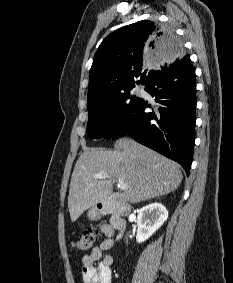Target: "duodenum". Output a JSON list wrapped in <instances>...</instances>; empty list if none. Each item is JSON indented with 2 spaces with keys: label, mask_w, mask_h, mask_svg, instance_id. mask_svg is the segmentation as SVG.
I'll list each match as a JSON object with an SVG mask.
<instances>
[{
  "label": "duodenum",
  "mask_w": 233,
  "mask_h": 283,
  "mask_svg": "<svg viewBox=\"0 0 233 283\" xmlns=\"http://www.w3.org/2000/svg\"><path fill=\"white\" fill-rule=\"evenodd\" d=\"M99 211L110 215L112 230H121L126 226L125 217L129 214L130 208L122 196L112 195L99 205Z\"/></svg>",
  "instance_id": "obj_1"
}]
</instances>
